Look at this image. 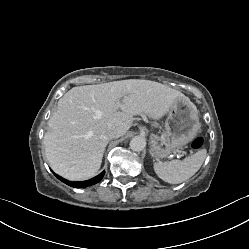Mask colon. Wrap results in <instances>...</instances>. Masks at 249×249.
Instances as JSON below:
<instances>
[{"label": "colon", "mask_w": 249, "mask_h": 249, "mask_svg": "<svg viewBox=\"0 0 249 249\" xmlns=\"http://www.w3.org/2000/svg\"><path fill=\"white\" fill-rule=\"evenodd\" d=\"M204 144V139L203 137L201 136H197L191 143V147L194 149V150H198L200 148H202Z\"/></svg>", "instance_id": "1"}]
</instances>
